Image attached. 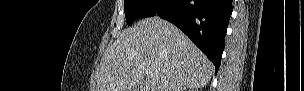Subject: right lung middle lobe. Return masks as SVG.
I'll return each instance as SVG.
<instances>
[{"label":"right lung middle lobe","instance_id":"obj_1","mask_svg":"<svg viewBox=\"0 0 304 91\" xmlns=\"http://www.w3.org/2000/svg\"><path fill=\"white\" fill-rule=\"evenodd\" d=\"M125 18L128 25L138 18L155 16L156 12L166 6L169 0H124Z\"/></svg>","mask_w":304,"mask_h":91}]
</instances>
